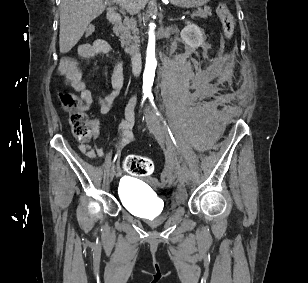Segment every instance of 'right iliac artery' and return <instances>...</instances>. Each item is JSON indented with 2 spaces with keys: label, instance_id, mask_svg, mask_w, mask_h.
Masks as SVG:
<instances>
[{
  "label": "right iliac artery",
  "instance_id": "1",
  "mask_svg": "<svg viewBox=\"0 0 308 283\" xmlns=\"http://www.w3.org/2000/svg\"><path fill=\"white\" fill-rule=\"evenodd\" d=\"M146 97H147V95L145 94L144 97H143V100H145ZM117 158H118V154L115 155L113 163L117 160Z\"/></svg>",
  "mask_w": 308,
  "mask_h": 283
}]
</instances>
